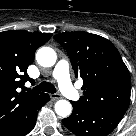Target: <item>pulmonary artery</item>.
Returning <instances> with one entry per match:
<instances>
[{
    "instance_id": "pulmonary-artery-1",
    "label": "pulmonary artery",
    "mask_w": 136,
    "mask_h": 136,
    "mask_svg": "<svg viewBox=\"0 0 136 136\" xmlns=\"http://www.w3.org/2000/svg\"><path fill=\"white\" fill-rule=\"evenodd\" d=\"M54 78L58 81L61 91L71 100H78L79 93L73 87L69 77V64L66 60H60L53 71Z\"/></svg>"
}]
</instances>
